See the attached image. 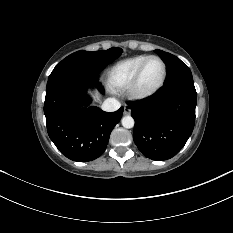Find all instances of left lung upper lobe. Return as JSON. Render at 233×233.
<instances>
[{"mask_svg":"<svg viewBox=\"0 0 233 233\" xmlns=\"http://www.w3.org/2000/svg\"><path fill=\"white\" fill-rule=\"evenodd\" d=\"M155 51L167 65L168 76L165 85L176 81H193L190 69L179 58L162 50Z\"/></svg>","mask_w":233,"mask_h":233,"instance_id":"5c2ea615","label":"left lung upper lobe"}]
</instances>
